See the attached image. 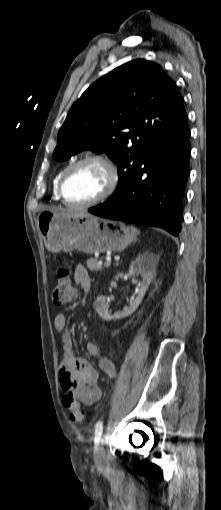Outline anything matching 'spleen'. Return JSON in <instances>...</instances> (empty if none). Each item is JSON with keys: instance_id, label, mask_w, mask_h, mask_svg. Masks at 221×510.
<instances>
[{"instance_id": "obj_1", "label": "spleen", "mask_w": 221, "mask_h": 510, "mask_svg": "<svg viewBox=\"0 0 221 510\" xmlns=\"http://www.w3.org/2000/svg\"><path fill=\"white\" fill-rule=\"evenodd\" d=\"M130 228H131V230H132L134 233H139V231H138L135 227H132V226H131Z\"/></svg>"}]
</instances>
